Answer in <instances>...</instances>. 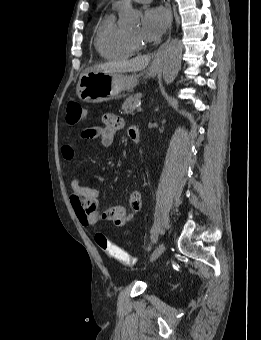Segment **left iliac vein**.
Here are the masks:
<instances>
[{
	"label": "left iliac vein",
	"mask_w": 261,
	"mask_h": 340,
	"mask_svg": "<svg viewBox=\"0 0 261 340\" xmlns=\"http://www.w3.org/2000/svg\"><path fill=\"white\" fill-rule=\"evenodd\" d=\"M165 250L164 242L160 243L150 257V261H155Z\"/></svg>",
	"instance_id": "4c4485c4"
}]
</instances>
